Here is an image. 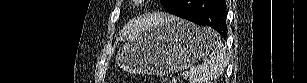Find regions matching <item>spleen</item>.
<instances>
[{"label": "spleen", "instance_id": "3e777b00", "mask_svg": "<svg viewBox=\"0 0 307 83\" xmlns=\"http://www.w3.org/2000/svg\"><path fill=\"white\" fill-rule=\"evenodd\" d=\"M207 34L209 40L212 41V52L206 61L191 71L189 83H210L219 77L227 66L226 48L219 35L211 29H208Z\"/></svg>", "mask_w": 307, "mask_h": 83}]
</instances>
